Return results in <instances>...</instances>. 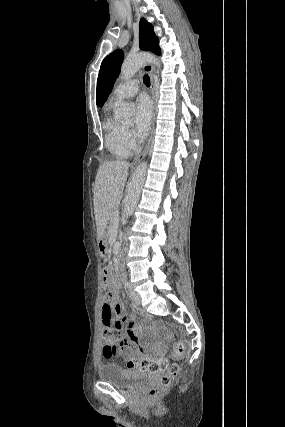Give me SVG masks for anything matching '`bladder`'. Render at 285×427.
Listing matches in <instances>:
<instances>
[{
    "label": "bladder",
    "mask_w": 285,
    "mask_h": 427,
    "mask_svg": "<svg viewBox=\"0 0 285 427\" xmlns=\"http://www.w3.org/2000/svg\"><path fill=\"white\" fill-rule=\"evenodd\" d=\"M155 377L156 374L143 371H129L114 363L103 364L98 370V378L100 381L124 388L129 387L134 382L153 379Z\"/></svg>",
    "instance_id": "1"
}]
</instances>
